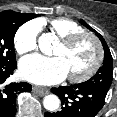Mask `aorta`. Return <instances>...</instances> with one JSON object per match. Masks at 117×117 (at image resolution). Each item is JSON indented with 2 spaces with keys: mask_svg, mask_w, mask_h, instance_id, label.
<instances>
[{
  "mask_svg": "<svg viewBox=\"0 0 117 117\" xmlns=\"http://www.w3.org/2000/svg\"><path fill=\"white\" fill-rule=\"evenodd\" d=\"M53 42V37L50 33L42 34L38 39L39 48L43 53H48L50 51ZM43 106L46 110L55 111L60 106L59 98L50 94L44 97Z\"/></svg>",
  "mask_w": 117,
  "mask_h": 117,
  "instance_id": "obj_1",
  "label": "aorta"
}]
</instances>
